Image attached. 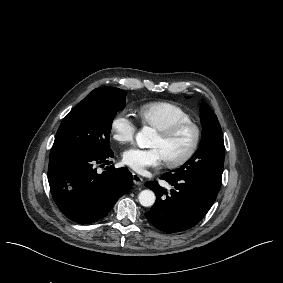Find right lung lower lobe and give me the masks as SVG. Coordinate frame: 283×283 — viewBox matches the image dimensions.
Here are the masks:
<instances>
[{"instance_id":"right-lung-lower-lobe-1","label":"right lung lower lobe","mask_w":283,"mask_h":283,"mask_svg":"<svg viewBox=\"0 0 283 283\" xmlns=\"http://www.w3.org/2000/svg\"><path fill=\"white\" fill-rule=\"evenodd\" d=\"M113 152L71 151L50 155L48 181L60 211L74 222L87 224L105 217L130 191L133 178L126 168L97 173V165L112 163ZM108 169V168H107Z\"/></svg>"}]
</instances>
